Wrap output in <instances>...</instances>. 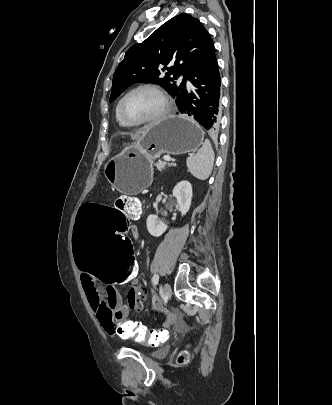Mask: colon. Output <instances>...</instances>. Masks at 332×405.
I'll return each mask as SVG.
<instances>
[{
    "label": "colon",
    "instance_id": "obj_1",
    "mask_svg": "<svg viewBox=\"0 0 332 405\" xmlns=\"http://www.w3.org/2000/svg\"><path fill=\"white\" fill-rule=\"evenodd\" d=\"M141 208L140 200L129 195L120 196L115 205L82 202L77 220H72L74 257L78 268H82V275H95L96 281H105V287H126L128 281L136 280L134 238L125 213H140ZM123 321L117 324L120 326L118 338L121 342H134L142 351H158L170 332L169 325L148 327L146 322H137L135 316ZM187 359L185 353L179 360Z\"/></svg>",
    "mask_w": 332,
    "mask_h": 405
}]
</instances>
